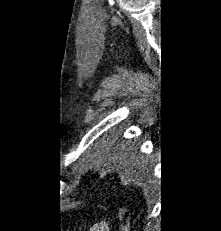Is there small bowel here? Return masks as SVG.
I'll use <instances>...</instances> for the list:
<instances>
[{
    "instance_id": "1",
    "label": "small bowel",
    "mask_w": 221,
    "mask_h": 231,
    "mask_svg": "<svg viewBox=\"0 0 221 231\" xmlns=\"http://www.w3.org/2000/svg\"><path fill=\"white\" fill-rule=\"evenodd\" d=\"M90 231H109V225L107 222L102 221L95 224Z\"/></svg>"
}]
</instances>
